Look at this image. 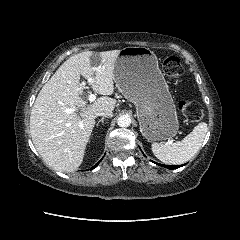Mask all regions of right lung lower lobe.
<instances>
[{
    "mask_svg": "<svg viewBox=\"0 0 240 240\" xmlns=\"http://www.w3.org/2000/svg\"><path fill=\"white\" fill-rule=\"evenodd\" d=\"M101 160H102V159H101ZM101 160H100V161H101ZM98 164H99V162H98V163H97L95 166H93V167H92V169H94L95 167H97V166H98Z\"/></svg>",
    "mask_w": 240,
    "mask_h": 240,
    "instance_id": "obj_1",
    "label": "right lung lower lobe"
}]
</instances>
